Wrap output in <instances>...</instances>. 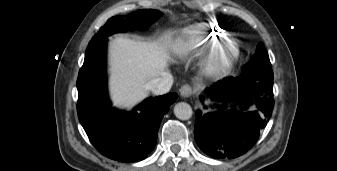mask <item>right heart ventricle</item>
<instances>
[{
  "instance_id": "obj_1",
  "label": "right heart ventricle",
  "mask_w": 337,
  "mask_h": 171,
  "mask_svg": "<svg viewBox=\"0 0 337 171\" xmlns=\"http://www.w3.org/2000/svg\"><path fill=\"white\" fill-rule=\"evenodd\" d=\"M224 38H227V32L215 23L193 24L183 31L178 43V54L183 59H191Z\"/></svg>"
}]
</instances>
